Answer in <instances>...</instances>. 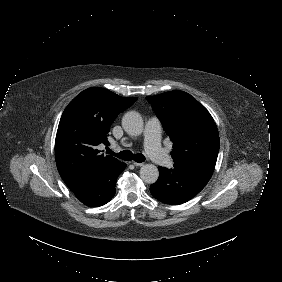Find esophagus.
<instances>
[{
    "label": "esophagus",
    "instance_id": "1",
    "mask_svg": "<svg viewBox=\"0 0 282 282\" xmlns=\"http://www.w3.org/2000/svg\"><path fill=\"white\" fill-rule=\"evenodd\" d=\"M133 165L137 166V167H141L143 165V163H138L136 161H132Z\"/></svg>",
    "mask_w": 282,
    "mask_h": 282
}]
</instances>
